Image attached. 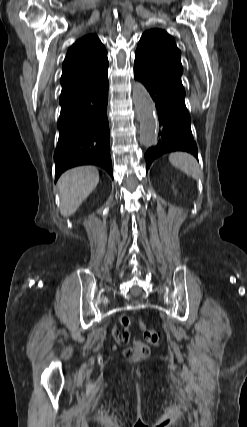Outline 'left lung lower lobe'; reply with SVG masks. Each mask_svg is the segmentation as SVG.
Segmentation results:
<instances>
[{
  "label": "left lung lower lobe",
  "mask_w": 247,
  "mask_h": 427,
  "mask_svg": "<svg viewBox=\"0 0 247 427\" xmlns=\"http://www.w3.org/2000/svg\"><path fill=\"white\" fill-rule=\"evenodd\" d=\"M134 77L144 84L158 110L159 138L145 153L147 168L159 156L173 151L189 152L198 160L191 119L184 102L185 92L170 86L137 61L134 62Z\"/></svg>",
  "instance_id": "obj_1"
}]
</instances>
